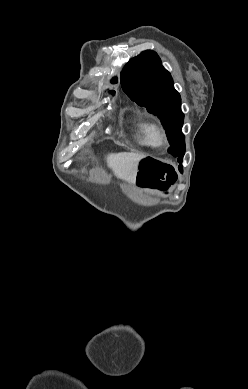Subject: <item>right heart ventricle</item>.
<instances>
[{"instance_id": "e07e8e85", "label": "right heart ventricle", "mask_w": 248, "mask_h": 389, "mask_svg": "<svg viewBox=\"0 0 248 389\" xmlns=\"http://www.w3.org/2000/svg\"><path fill=\"white\" fill-rule=\"evenodd\" d=\"M133 129L140 144L147 147L156 146L154 137L158 127L152 120L139 116L133 121Z\"/></svg>"}]
</instances>
